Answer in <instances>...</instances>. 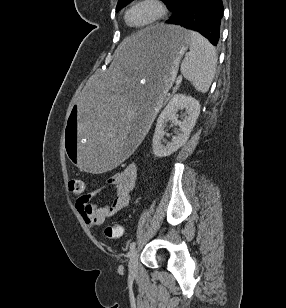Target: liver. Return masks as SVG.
<instances>
[{
  "label": "liver",
  "instance_id": "6515ba94",
  "mask_svg": "<svg viewBox=\"0 0 286 308\" xmlns=\"http://www.w3.org/2000/svg\"><path fill=\"white\" fill-rule=\"evenodd\" d=\"M139 43L140 36L138 34L125 38L116 50L113 66L116 67L123 61L132 60L136 56Z\"/></svg>",
  "mask_w": 286,
  "mask_h": 308
}]
</instances>
